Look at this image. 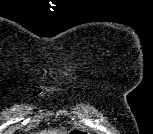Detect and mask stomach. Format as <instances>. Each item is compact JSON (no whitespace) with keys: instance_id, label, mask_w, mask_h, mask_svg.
Instances as JSON below:
<instances>
[{"instance_id":"stomach-1","label":"stomach","mask_w":153,"mask_h":134,"mask_svg":"<svg viewBox=\"0 0 153 134\" xmlns=\"http://www.w3.org/2000/svg\"><path fill=\"white\" fill-rule=\"evenodd\" d=\"M76 133H79V131L78 130H75V129H73V130L70 131V134H76Z\"/></svg>"}]
</instances>
